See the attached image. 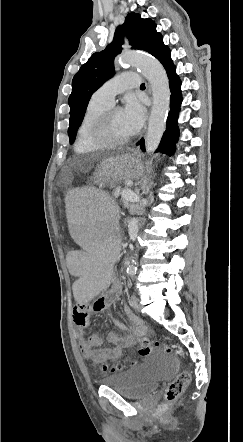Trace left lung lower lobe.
<instances>
[{
	"mask_svg": "<svg viewBox=\"0 0 243 442\" xmlns=\"http://www.w3.org/2000/svg\"><path fill=\"white\" fill-rule=\"evenodd\" d=\"M152 55L163 64L169 78L171 91L170 112L167 118V127L157 151H162L171 156L175 149V143L179 137L177 119L182 102L180 90L181 82L175 72V66L171 60L170 50L166 45L163 44V40L156 46ZM138 144L141 146V149L145 151L143 138L138 142Z\"/></svg>",
	"mask_w": 243,
	"mask_h": 442,
	"instance_id": "obj_1",
	"label": "left lung lower lobe"
}]
</instances>
